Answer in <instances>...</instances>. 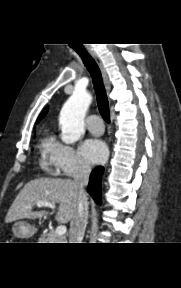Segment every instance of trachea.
<instances>
[{
    "instance_id": "obj_1",
    "label": "trachea",
    "mask_w": 181,
    "mask_h": 288,
    "mask_svg": "<svg viewBox=\"0 0 181 288\" xmlns=\"http://www.w3.org/2000/svg\"><path fill=\"white\" fill-rule=\"evenodd\" d=\"M78 55L83 60L87 70L89 71L96 93V100L99 112L103 119L110 123V112H109V103L106 95V91L103 85V79L101 75V71L95 62V60L91 57V55L85 49H75Z\"/></svg>"
}]
</instances>
